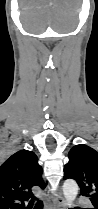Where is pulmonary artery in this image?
I'll use <instances>...</instances> for the list:
<instances>
[{"instance_id": "pulmonary-artery-1", "label": "pulmonary artery", "mask_w": 98, "mask_h": 209, "mask_svg": "<svg viewBox=\"0 0 98 209\" xmlns=\"http://www.w3.org/2000/svg\"><path fill=\"white\" fill-rule=\"evenodd\" d=\"M81 204H90V201L88 199H80Z\"/></svg>"}]
</instances>
